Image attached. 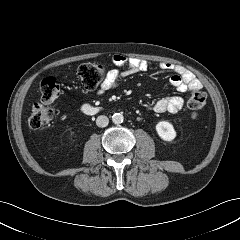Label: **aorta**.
Masks as SVG:
<instances>
[{
    "label": "aorta",
    "instance_id": "762f6f07",
    "mask_svg": "<svg viewBox=\"0 0 240 240\" xmlns=\"http://www.w3.org/2000/svg\"><path fill=\"white\" fill-rule=\"evenodd\" d=\"M123 119H124V117L121 113H115L112 116V122L114 124H121L123 122Z\"/></svg>",
    "mask_w": 240,
    "mask_h": 240
}]
</instances>
